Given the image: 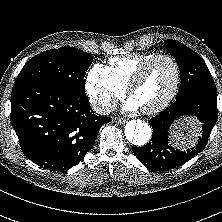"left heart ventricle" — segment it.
Listing matches in <instances>:
<instances>
[{
  "label": "left heart ventricle",
  "instance_id": "left-heart-ventricle-1",
  "mask_svg": "<svg viewBox=\"0 0 222 222\" xmlns=\"http://www.w3.org/2000/svg\"><path fill=\"white\" fill-rule=\"evenodd\" d=\"M175 78L173 64L168 60H158L147 70L143 80L132 93L141 108H150L160 103L170 92Z\"/></svg>",
  "mask_w": 222,
  "mask_h": 222
}]
</instances>
